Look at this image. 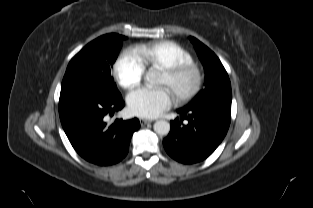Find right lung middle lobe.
<instances>
[{
  "mask_svg": "<svg viewBox=\"0 0 313 208\" xmlns=\"http://www.w3.org/2000/svg\"><path fill=\"white\" fill-rule=\"evenodd\" d=\"M123 39L124 36L111 33L87 44L71 59L63 80L81 79L98 86L110 96L121 95L111 76V68L122 47Z\"/></svg>",
  "mask_w": 313,
  "mask_h": 208,
  "instance_id": "right-lung-middle-lobe-1",
  "label": "right lung middle lobe"
}]
</instances>
